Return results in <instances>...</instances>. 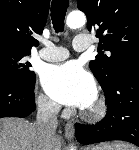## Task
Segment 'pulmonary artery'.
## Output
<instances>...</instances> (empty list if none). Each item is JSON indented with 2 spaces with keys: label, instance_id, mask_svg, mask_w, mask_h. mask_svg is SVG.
I'll list each match as a JSON object with an SVG mask.
<instances>
[{
  "label": "pulmonary artery",
  "instance_id": "e3ab8cb5",
  "mask_svg": "<svg viewBox=\"0 0 139 150\" xmlns=\"http://www.w3.org/2000/svg\"><path fill=\"white\" fill-rule=\"evenodd\" d=\"M91 40L86 35H78L73 42V48L80 52L89 49ZM39 56L51 62L63 61L69 57V52L66 48L56 46L51 42H46V47L39 51Z\"/></svg>",
  "mask_w": 139,
  "mask_h": 150
}]
</instances>
